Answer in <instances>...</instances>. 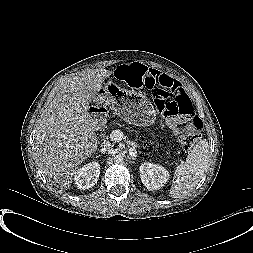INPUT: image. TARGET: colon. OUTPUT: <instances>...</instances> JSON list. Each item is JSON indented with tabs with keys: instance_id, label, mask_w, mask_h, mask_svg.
<instances>
[{
	"instance_id": "1",
	"label": "colon",
	"mask_w": 253,
	"mask_h": 253,
	"mask_svg": "<svg viewBox=\"0 0 253 253\" xmlns=\"http://www.w3.org/2000/svg\"><path fill=\"white\" fill-rule=\"evenodd\" d=\"M146 74L147 68L139 63L122 65L115 73L118 80L132 88L143 87ZM151 97L163 117L180 115L188 120L185 132L180 137V144L185 150L192 148L201 137L203 125L201 120L194 115V107L189 96L181 87L157 86L152 89Z\"/></svg>"
}]
</instances>
